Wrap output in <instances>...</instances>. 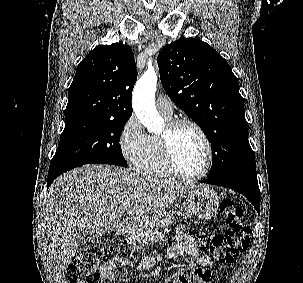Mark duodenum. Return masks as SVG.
Listing matches in <instances>:
<instances>
[{"mask_svg": "<svg viewBox=\"0 0 303 283\" xmlns=\"http://www.w3.org/2000/svg\"><path fill=\"white\" fill-rule=\"evenodd\" d=\"M133 224L130 221L123 222L117 229L116 233L121 235L125 230L131 228Z\"/></svg>", "mask_w": 303, "mask_h": 283, "instance_id": "obj_1", "label": "duodenum"}]
</instances>
